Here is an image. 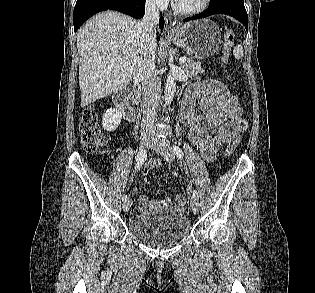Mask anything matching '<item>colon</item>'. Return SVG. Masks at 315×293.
Listing matches in <instances>:
<instances>
[{
  "instance_id": "obj_1",
  "label": "colon",
  "mask_w": 315,
  "mask_h": 293,
  "mask_svg": "<svg viewBox=\"0 0 315 293\" xmlns=\"http://www.w3.org/2000/svg\"><path fill=\"white\" fill-rule=\"evenodd\" d=\"M234 42V32L228 29L224 35V40L222 41V48L220 52L221 61H228L229 53L232 43ZM79 133L83 148L88 153H95L101 147H103L107 138L102 134L99 128L98 114L94 109H86L81 117L79 123ZM235 148V144H229L226 149V154L230 155ZM176 203L179 206H185L187 204L186 196L179 194L176 196Z\"/></svg>"
}]
</instances>
